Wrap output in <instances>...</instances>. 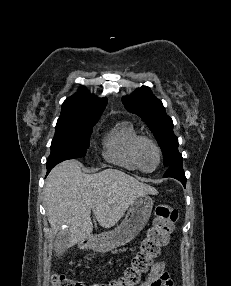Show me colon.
Masks as SVG:
<instances>
[{
  "label": "colon",
  "mask_w": 231,
  "mask_h": 286,
  "mask_svg": "<svg viewBox=\"0 0 231 286\" xmlns=\"http://www.w3.org/2000/svg\"><path fill=\"white\" fill-rule=\"evenodd\" d=\"M179 218L178 210L171 205L162 204L156 207L155 217L139 250L123 274L109 282H96L87 285L81 281L68 278L63 274H54L52 286H136L153 261L160 255L161 248L168 243L169 236Z\"/></svg>",
  "instance_id": "obj_1"
}]
</instances>
